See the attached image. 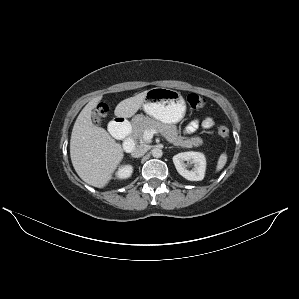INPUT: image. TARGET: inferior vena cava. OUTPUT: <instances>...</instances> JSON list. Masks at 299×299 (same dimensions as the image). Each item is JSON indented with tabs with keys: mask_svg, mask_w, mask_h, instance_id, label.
Here are the masks:
<instances>
[{
	"mask_svg": "<svg viewBox=\"0 0 299 299\" xmlns=\"http://www.w3.org/2000/svg\"><path fill=\"white\" fill-rule=\"evenodd\" d=\"M147 150H148L147 145H138L132 149L131 155L136 158L141 157L147 152Z\"/></svg>",
	"mask_w": 299,
	"mask_h": 299,
	"instance_id": "obj_1",
	"label": "inferior vena cava"
}]
</instances>
